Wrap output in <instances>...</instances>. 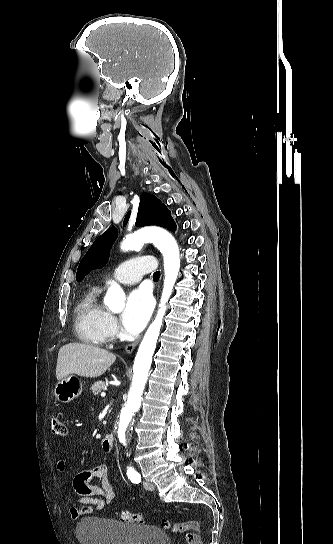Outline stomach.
Here are the masks:
<instances>
[{
	"instance_id": "0dacf381",
	"label": "stomach",
	"mask_w": 333,
	"mask_h": 544,
	"mask_svg": "<svg viewBox=\"0 0 333 544\" xmlns=\"http://www.w3.org/2000/svg\"><path fill=\"white\" fill-rule=\"evenodd\" d=\"M82 382L75 376H66L60 379L55 388L54 395L62 403H69L82 393Z\"/></svg>"
}]
</instances>
